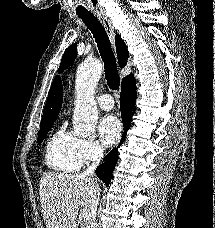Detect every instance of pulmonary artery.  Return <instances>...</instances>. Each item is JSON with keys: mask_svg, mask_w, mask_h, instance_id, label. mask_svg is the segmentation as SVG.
<instances>
[{"mask_svg": "<svg viewBox=\"0 0 215 228\" xmlns=\"http://www.w3.org/2000/svg\"><path fill=\"white\" fill-rule=\"evenodd\" d=\"M98 104L103 110H111L114 107V101L109 94H103L98 99Z\"/></svg>", "mask_w": 215, "mask_h": 228, "instance_id": "pulmonary-artery-1", "label": "pulmonary artery"}]
</instances>
